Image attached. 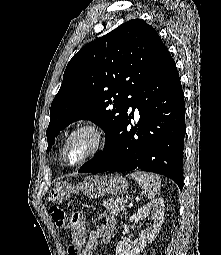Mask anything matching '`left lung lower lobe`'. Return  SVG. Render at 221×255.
I'll return each mask as SVG.
<instances>
[{
	"label": "left lung lower lobe",
	"mask_w": 221,
	"mask_h": 255,
	"mask_svg": "<svg viewBox=\"0 0 221 255\" xmlns=\"http://www.w3.org/2000/svg\"><path fill=\"white\" fill-rule=\"evenodd\" d=\"M130 107L132 112L128 110L104 149L78 172L149 171L172 179L182 189L185 103L168 50ZM135 108L140 118L132 125Z\"/></svg>",
	"instance_id": "1"
}]
</instances>
